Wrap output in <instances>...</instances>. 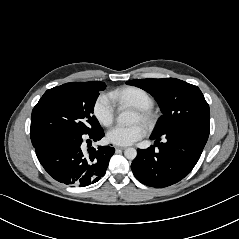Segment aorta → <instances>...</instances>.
I'll use <instances>...</instances> for the list:
<instances>
[{"label": "aorta", "instance_id": "762f6f07", "mask_svg": "<svg viewBox=\"0 0 239 239\" xmlns=\"http://www.w3.org/2000/svg\"><path fill=\"white\" fill-rule=\"evenodd\" d=\"M134 113L131 112V111H128V110H125V111H121L119 114H118V117H117V122L119 124H123V125H128V124H131L133 123L134 121ZM124 155L127 159L129 160H134L137 156V151L135 148H127L124 152Z\"/></svg>", "mask_w": 239, "mask_h": 239}]
</instances>
